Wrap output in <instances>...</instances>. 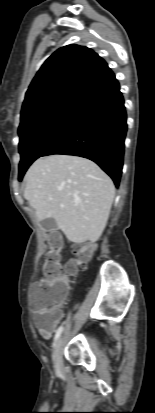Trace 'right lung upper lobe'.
Here are the masks:
<instances>
[{
  "label": "right lung upper lobe",
  "instance_id": "right-lung-upper-lobe-1",
  "mask_svg": "<svg viewBox=\"0 0 155 413\" xmlns=\"http://www.w3.org/2000/svg\"><path fill=\"white\" fill-rule=\"evenodd\" d=\"M114 78L107 63L90 48L75 44L59 48L31 82L20 126L61 105L79 104Z\"/></svg>",
  "mask_w": 155,
  "mask_h": 413
}]
</instances>
